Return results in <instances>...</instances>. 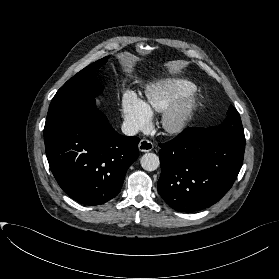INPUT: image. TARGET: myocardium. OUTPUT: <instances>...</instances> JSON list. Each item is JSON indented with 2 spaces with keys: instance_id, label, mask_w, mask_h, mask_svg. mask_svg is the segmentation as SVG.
Masks as SVG:
<instances>
[{
  "instance_id": "myocardium-1",
  "label": "myocardium",
  "mask_w": 279,
  "mask_h": 279,
  "mask_svg": "<svg viewBox=\"0 0 279 279\" xmlns=\"http://www.w3.org/2000/svg\"><path fill=\"white\" fill-rule=\"evenodd\" d=\"M198 101V95L192 92L168 108L161 119L163 131L169 135L181 134L192 121Z\"/></svg>"
}]
</instances>
